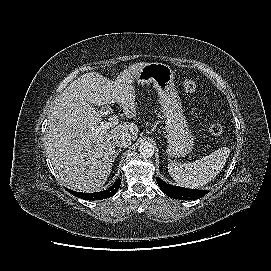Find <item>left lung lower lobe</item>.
<instances>
[{
    "label": "left lung lower lobe",
    "instance_id": "left-lung-lower-lobe-1",
    "mask_svg": "<svg viewBox=\"0 0 271 271\" xmlns=\"http://www.w3.org/2000/svg\"><path fill=\"white\" fill-rule=\"evenodd\" d=\"M156 181L160 189L169 197L174 199L194 200L205 196L208 192L206 190L188 189L178 186H172L162 181L160 178H156Z\"/></svg>",
    "mask_w": 271,
    "mask_h": 271
}]
</instances>
